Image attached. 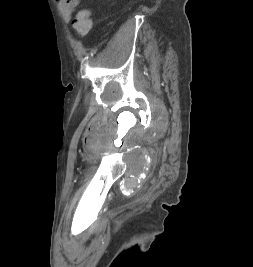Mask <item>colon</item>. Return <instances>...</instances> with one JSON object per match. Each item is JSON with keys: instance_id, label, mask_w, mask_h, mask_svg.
Here are the masks:
<instances>
[{"instance_id": "5ec220e1", "label": "colon", "mask_w": 253, "mask_h": 267, "mask_svg": "<svg viewBox=\"0 0 253 267\" xmlns=\"http://www.w3.org/2000/svg\"><path fill=\"white\" fill-rule=\"evenodd\" d=\"M73 27L75 31L84 36L89 33L92 27V19L88 10H81L73 19Z\"/></svg>"}]
</instances>
